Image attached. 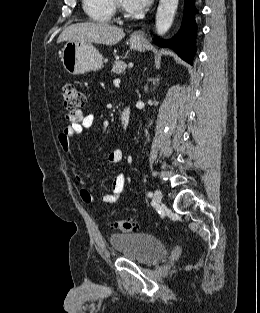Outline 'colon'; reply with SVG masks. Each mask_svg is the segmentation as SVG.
Listing matches in <instances>:
<instances>
[{
    "label": "colon",
    "mask_w": 260,
    "mask_h": 313,
    "mask_svg": "<svg viewBox=\"0 0 260 313\" xmlns=\"http://www.w3.org/2000/svg\"><path fill=\"white\" fill-rule=\"evenodd\" d=\"M62 95L65 109L76 111L85 105L86 99L84 94L73 83H64L62 85ZM115 230L121 233H129L136 229L135 224L129 220H115L112 222Z\"/></svg>",
    "instance_id": "colon-1"
}]
</instances>
